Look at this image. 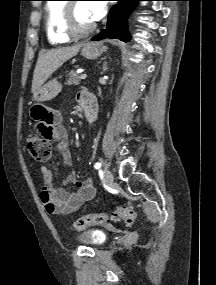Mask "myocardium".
I'll use <instances>...</instances> for the list:
<instances>
[{"instance_id": "obj_1", "label": "myocardium", "mask_w": 216, "mask_h": 285, "mask_svg": "<svg viewBox=\"0 0 216 285\" xmlns=\"http://www.w3.org/2000/svg\"><path fill=\"white\" fill-rule=\"evenodd\" d=\"M76 2H67L64 7L62 26L65 34L70 38H82L90 35L95 29L96 24L91 25L88 28L78 27L75 19V7Z\"/></svg>"}]
</instances>
